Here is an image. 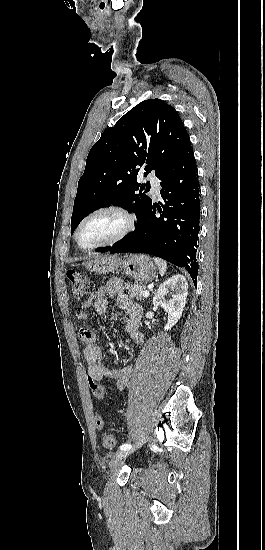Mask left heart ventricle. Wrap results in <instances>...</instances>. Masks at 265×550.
<instances>
[{"instance_id": "obj_1", "label": "left heart ventricle", "mask_w": 265, "mask_h": 550, "mask_svg": "<svg viewBox=\"0 0 265 550\" xmlns=\"http://www.w3.org/2000/svg\"><path fill=\"white\" fill-rule=\"evenodd\" d=\"M123 219L110 212L100 213L87 220L79 232V242L89 247L114 237L123 227Z\"/></svg>"}]
</instances>
